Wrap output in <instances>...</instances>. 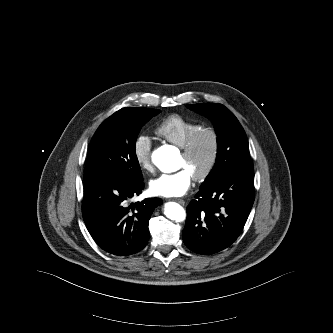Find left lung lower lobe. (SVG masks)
I'll return each mask as SVG.
<instances>
[{"label":"left lung lower lobe","instance_id":"obj_1","mask_svg":"<svg viewBox=\"0 0 333 333\" xmlns=\"http://www.w3.org/2000/svg\"><path fill=\"white\" fill-rule=\"evenodd\" d=\"M187 207L185 245L199 254L229 247L241 233L254 202V170L229 172L200 187Z\"/></svg>","mask_w":333,"mask_h":333}]
</instances>
